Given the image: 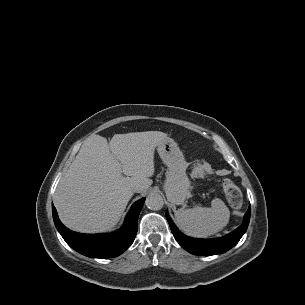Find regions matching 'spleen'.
<instances>
[{"label":"spleen","mask_w":305,"mask_h":305,"mask_svg":"<svg viewBox=\"0 0 305 305\" xmlns=\"http://www.w3.org/2000/svg\"><path fill=\"white\" fill-rule=\"evenodd\" d=\"M230 211L225 203L214 198L211 207L178 209L175 219L180 229L187 235L206 238L222 230L228 223Z\"/></svg>","instance_id":"obj_1"}]
</instances>
